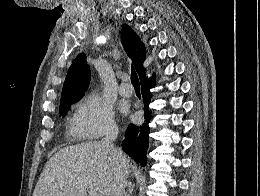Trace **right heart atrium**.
<instances>
[{
  "label": "right heart atrium",
  "instance_id": "d8ad5b80",
  "mask_svg": "<svg viewBox=\"0 0 260 196\" xmlns=\"http://www.w3.org/2000/svg\"><path fill=\"white\" fill-rule=\"evenodd\" d=\"M115 129L114 112L98 93L90 92L77 103L70 130L80 143H106L98 139Z\"/></svg>",
  "mask_w": 260,
  "mask_h": 196
}]
</instances>
